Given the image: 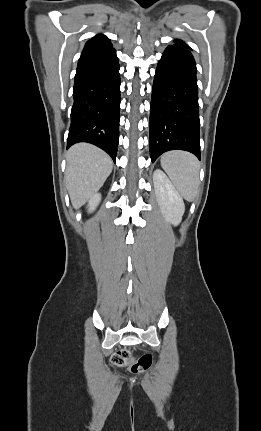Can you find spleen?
<instances>
[{"label":"spleen","mask_w":261,"mask_h":431,"mask_svg":"<svg viewBox=\"0 0 261 431\" xmlns=\"http://www.w3.org/2000/svg\"><path fill=\"white\" fill-rule=\"evenodd\" d=\"M161 166L179 194L192 201L199 187V162L191 153L170 151L162 155Z\"/></svg>","instance_id":"1"}]
</instances>
